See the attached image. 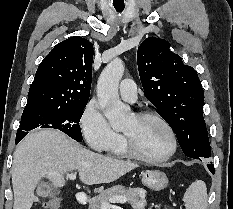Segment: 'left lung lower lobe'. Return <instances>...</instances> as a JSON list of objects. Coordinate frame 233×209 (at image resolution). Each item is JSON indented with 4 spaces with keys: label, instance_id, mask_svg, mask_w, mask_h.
<instances>
[{
    "label": "left lung lower lobe",
    "instance_id": "left-lung-lower-lobe-1",
    "mask_svg": "<svg viewBox=\"0 0 233 209\" xmlns=\"http://www.w3.org/2000/svg\"><path fill=\"white\" fill-rule=\"evenodd\" d=\"M209 170L211 171L212 174L215 173L214 165L210 164L208 165Z\"/></svg>",
    "mask_w": 233,
    "mask_h": 209
}]
</instances>
